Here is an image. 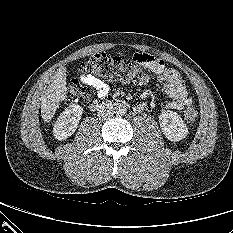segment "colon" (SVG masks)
Here are the masks:
<instances>
[{"label": "colon", "mask_w": 233, "mask_h": 233, "mask_svg": "<svg viewBox=\"0 0 233 233\" xmlns=\"http://www.w3.org/2000/svg\"><path fill=\"white\" fill-rule=\"evenodd\" d=\"M83 74L96 75L112 82L122 83H143L148 79V75L143 70L142 61L137 56L126 59L120 56H110L106 53L92 55L80 66ZM89 95L88 86L73 79L68 84L66 101L75 103L87 98ZM199 112L193 105H187L184 110V118L189 123H194L198 119Z\"/></svg>", "instance_id": "colon-1"}]
</instances>
